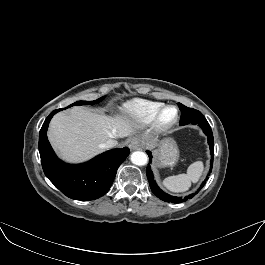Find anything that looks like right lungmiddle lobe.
Masks as SVG:
<instances>
[{
	"mask_svg": "<svg viewBox=\"0 0 265 265\" xmlns=\"http://www.w3.org/2000/svg\"><path fill=\"white\" fill-rule=\"evenodd\" d=\"M102 99H103V97L102 98H99V99H97L95 101H77V102L69 105L66 108H69V107H72V106H75V105H88V104H91L92 105V104L99 103ZM66 108H64V109H66ZM60 110H63V109H60Z\"/></svg>",
	"mask_w": 265,
	"mask_h": 265,
	"instance_id": "right-lung-middle-lobe-1",
	"label": "right lung middle lobe"
}]
</instances>
